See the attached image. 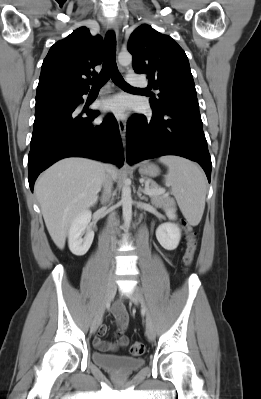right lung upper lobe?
<instances>
[{
	"mask_svg": "<svg viewBox=\"0 0 261 399\" xmlns=\"http://www.w3.org/2000/svg\"><path fill=\"white\" fill-rule=\"evenodd\" d=\"M103 40L86 27L56 42L45 57L36 93V103L85 94L88 84L82 76L102 62Z\"/></svg>",
	"mask_w": 261,
	"mask_h": 399,
	"instance_id": "right-lung-upper-lobe-1",
	"label": "right lung upper lobe"
}]
</instances>
